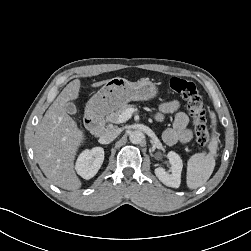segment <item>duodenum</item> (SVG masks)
I'll return each instance as SVG.
<instances>
[{"label": "duodenum", "instance_id": "obj_1", "mask_svg": "<svg viewBox=\"0 0 251 251\" xmlns=\"http://www.w3.org/2000/svg\"><path fill=\"white\" fill-rule=\"evenodd\" d=\"M86 125L95 136L102 135L105 129L103 115L98 111H91L86 118Z\"/></svg>", "mask_w": 251, "mask_h": 251}]
</instances>
